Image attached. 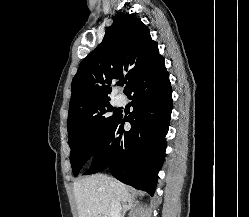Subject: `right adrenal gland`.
Returning <instances> with one entry per match:
<instances>
[{
    "label": "right adrenal gland",
    "instance_id": "right-adrenal-gland-1",
    "mask_svg": "<svg viewBox=\"0 0 249 217\" xmlns=\"http://www.w3.org/2000/svg\"><path fill=\"white\" fill-rule=\"evenodd\" d=\"M134 206L132 204V201H128V202H125L123 204V213H122V217H125V214L128 210L132 209Z\"/></svg>",
    "mask_w": 249,
    "mask_h": 217
}]
</instances>
